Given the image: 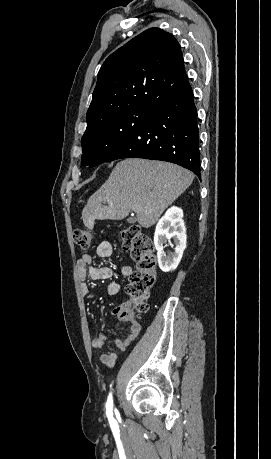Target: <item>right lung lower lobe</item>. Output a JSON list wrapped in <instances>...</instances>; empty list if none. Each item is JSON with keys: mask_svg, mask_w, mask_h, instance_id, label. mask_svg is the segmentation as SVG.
I'll list each match as a JSON object with an SVG mask.
<instances>
[{"mask_svg": "<svg viewBox=\"0 0 271 459\" xmlns=\"http://www.w3.org/2000/svg\"><path fill=\"white\" fill-rule=\"evenodd\" d=\"M197 109L188 84L165 100L107 159L144 158L176 163L199 179Z\"/></svg>", "mask_w": 271, "mask_h": 459, "instance_id": "obj_1", "label": "right lung lower lobe"}]
</instances>
